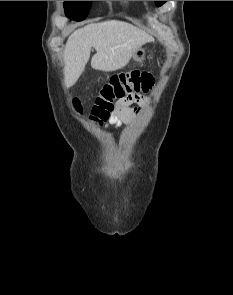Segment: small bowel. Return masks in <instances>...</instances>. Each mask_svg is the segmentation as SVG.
<instances>
[{
  "instance_id": "c3829d8e",
  "label": "small bowel",
  "mask_w": 233,
  "mask_h": 295,
  "mask_svg": "<svg viewBox=\"0 0 233 295\" xmlns=\"http://www.w3.org/2000/svg\"><path fill=\"white\" fill-rule=\"evenodd\" d=\"M143 101V96L137 98H125L118 100L116 103L115 111L110 117L109 122L117 126L121 125L122 122L126 121L134 115H137L140 112V108H131V104Z\"/></svg>"
}]
</instances>
